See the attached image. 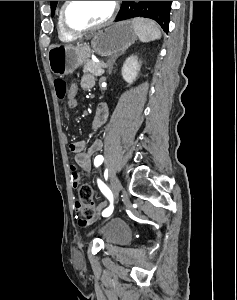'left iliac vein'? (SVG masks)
I'll use <instances>...</instances> for the list:
<instances>
[{"label": "left iliac vein", "mask_w": 237, "mask_h": 300, "mask_svg": "<svg viewBox=\"0 0 237 300\" xmlns=\"http://www.w3.org/2000/svg\"><path fill=\"white\" fill-rule=\"evenodd\" d=\"M111 190H112L114 199L116 201H118L119 194H120V192L122 190V186H121L120 180L117 177H115V176L112 178Z\"/></svg>", "instance_id": "1"}]
</instances>
